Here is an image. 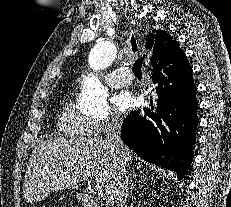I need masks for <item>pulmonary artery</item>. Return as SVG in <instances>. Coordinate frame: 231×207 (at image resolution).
Wrapping results in <instances>:
<instances>
[{
    "mask_svg": "<svg viewBox=\"0 0 231 207\" xmlns=\"http://www.w3.org/2000/svg\"><path fill=\"white\" fill-rule=\"evenodd\" d=\"M131 80L132 76L127 67H120L105 75V82L113 87L126 86Z\"/></svg>",
    "mask_w": 231,
    "mask_h": 207,
    "instance_id": "1",
    "label": "pulmonary artery"
}]
</instances>
